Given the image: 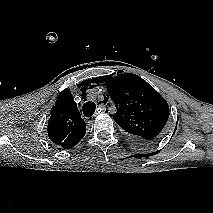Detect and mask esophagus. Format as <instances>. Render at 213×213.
<instances>
[{"label": "esophagus", "instance_id": "obj_1", "mask_svg": "<svg viewBox=\"0 0 213 213\" xmlns=\"http://www.w3.org/2000/svg\"><path fill=\"white\" fill-rule=\"evenodd\" d=\"M99 107H100L103 111H106V109H107V107H106L105 105H103V104L99 105ZM92 122H93V117L90 118V119L88 120V123H92Z\"/></svg>", "mask_w": 213, "mask_h": 213}]
</instances>
